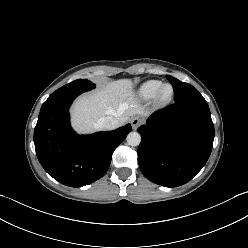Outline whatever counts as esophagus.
<instances>
[{"instance_id": "1", "label": "esophagus", "mask_w": 248, "mask_h": 248, "mask_svg": "<svg viewBox=\"0 0 248 248\" xmlns=\"http://www.w3.org/2000/svg\"><path fill=\"white\" fill-rule=\"evenodd\" d=\"M141 122H142V120L139 117L132 118L131 125H132L133 129H136L141 124Z\"/></svg>"}]
</instances>
